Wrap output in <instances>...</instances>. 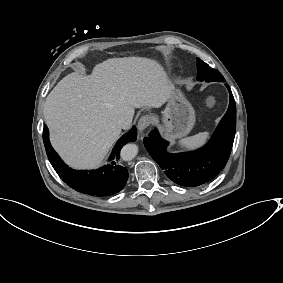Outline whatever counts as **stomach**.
<instances>
[{
	"mask_svg": "<svg viewBox=\"0 0 283 283\" xmlns=\"http://www.w3.org/2000/svg\"><path fill=\"white\" fill-rule=\"evenodd\" d=\"M165 137L174 140L190 132L195 123V111L180 90H173L163 112Z\"/></svg>",
	"mask_w": 283,
	"mask_h": 283,
	"instance_id": "1",
	"label": "stomach"
}]
</instances>
